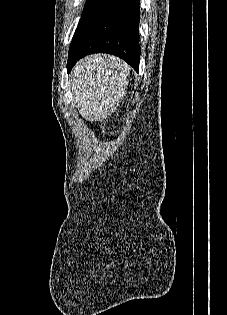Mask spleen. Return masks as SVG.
I'll use <instances>...</instances> for the list:
<instances>
[{
	"mask_svg": "<svg viewBox=\"0 0 227 315\" xmlns=\"http://www.w3.org/2000/svg\"><path fill=\"white\" fill-rule=\"evenodd\" d=\"M129 67L115 57H90L73 72L72 90L81 115L95 121L108 117L125 95Z\"/></svg>",
	"mask_w": 227,
	"mask_h": 315,
	"instance_id": "1",
	"label": "spleen"
}]
</instances>
